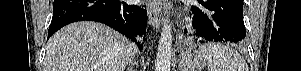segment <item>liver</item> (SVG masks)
Masks as SVG:
<instances>
[{"instance_id": "liver-1", "label": "liver", "mask_w": 301, "mask_h": 71, "mask_svg": "<svg viewBox=\"0 0 301 71\" xmlns=\"http://www.w3.org/2000/svg\"><path fill=\"white\" fill-rule=\"evenodd\" d=\"M135 54L133 43L108 26L76 22L48 40L44 71H124Z\"/></svg>"}]
</instances>
